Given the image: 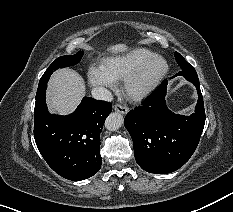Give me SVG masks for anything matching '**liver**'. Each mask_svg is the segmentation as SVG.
<instances>
[{"mask_svg":"<svg viewBox=\"0 0 233 212\" xmlns=\"http://www.w3.org/2000/svg\"><path fill=\"white\" fill-rule=\"evenodd\" d=\"M128 50L124 43L111 45L109 53L117 54ZM85 95L82 77L74 70L65 68L54 72L47 89V105L51 112L67 115L75 110Z\"/></svg>","mask_w":233,"mask_h":212,"instance_id":"1","label":"liver"}]
</instances>
